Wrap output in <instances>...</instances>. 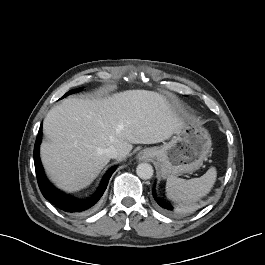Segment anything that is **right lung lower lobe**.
Here are the masks:
<instances>
[{
  "label": "right lung lower lobe",
  "mask_w": 265,
  "mask_h": 265,
  "mask_svg": "<svg viewBox=\"0 0 265 265\" xmlns=\"http://www.w3.org/2000/svg\"><path fill=\"white\" fill-rule=\"evenodd\" d=\"M41 140H42V125L40 126L39 133L34 146V164H35L38 185L43 196L60 210L69 213H80L92 207L103 195L106 186L108 184L109 178L111 177L112 173L115 171L116 166L112 167L105 174L98 191L92 198H89L87 200L73 199L71 196L66 195L60 192L59 190H57L47 180L39 158V145L41 143Z\"/></svg>",
  "instance_id": "obj_1"
}]
</instances>
